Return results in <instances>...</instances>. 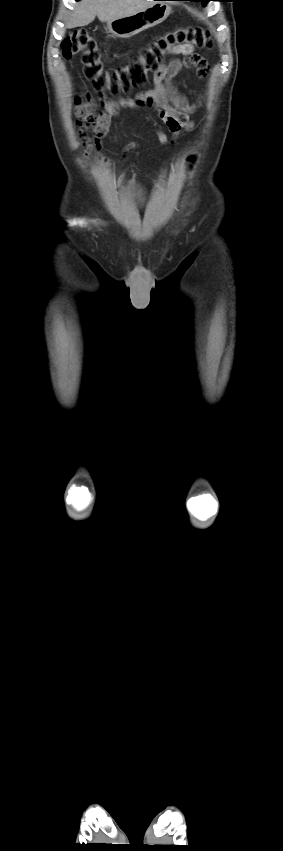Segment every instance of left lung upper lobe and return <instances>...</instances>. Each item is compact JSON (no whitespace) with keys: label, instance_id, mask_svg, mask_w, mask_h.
Instances as JSON below:
<instances>
[{"label":"left lung upper lobe","instance_id":"obj_1","mask_svg":"<svg viewBox=\"0 0 283 851\" xmlns=\"http://www.w3.org/2000/svg\"><path fill=\"white\" fill-rule=\"evenodd\" d=\"M192 1H202L203 6H205L207 4V2L210 1V0H192Z\"/></svg>","mask_w":283,"mask_h":851}]
</instances>
